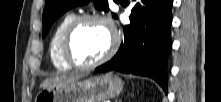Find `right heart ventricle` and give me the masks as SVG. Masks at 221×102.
Wrapping results in <instances>:
<instances>
[{"instance_id": "obj_1", "label": "right heart ventricle", "mask_w": 221, "mask_h": 102, "mask_svg": "<svg viewBox=\"0 0 221 102\" xmlns=\"http://www.w3.org/2000/svg\"><path fill=\"white\" fill-rule=\"evenodd\" d=\"M74 17H76V15L73 12L66 13L57 23L49 41L50 59L54 67L59 71H68L71 69L62 57L61 43L64 32Z\"/></svg>"}]
</instances>
